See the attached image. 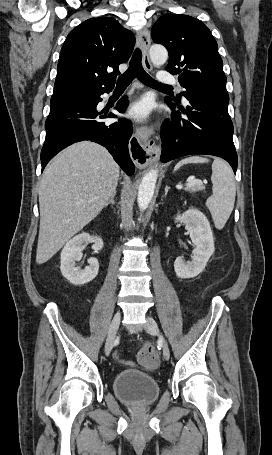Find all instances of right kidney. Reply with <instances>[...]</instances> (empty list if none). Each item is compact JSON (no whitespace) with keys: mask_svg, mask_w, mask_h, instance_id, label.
I'll list each match as a JSON object with an SVG mask.
<instances>
[{"mask_svg":"<svg viewBox=\"0 0 272 455\" xmlns=\"http://www.w3.org/2000/svg\"><path fill=\"white\" fill-rule=\"evenodd\" d=\"M93 242L94 250L103 248V240L99 237H92L88 233H81L68 241L61 252V272L62 275L74 285H83L92 281L98 274L99 263L96 258L88 259V266L85 269L75 266L76 261H80L83 254L82 250L89 243Z\"/></svg>","mask_w":272,"mask_h":455,"instance_id":"ca27d5eb","label":"right kidney"}]
</instances>
